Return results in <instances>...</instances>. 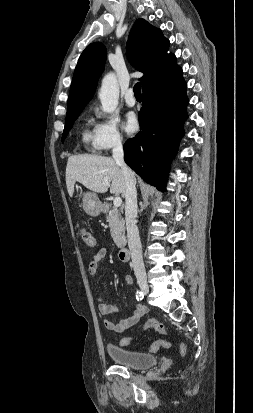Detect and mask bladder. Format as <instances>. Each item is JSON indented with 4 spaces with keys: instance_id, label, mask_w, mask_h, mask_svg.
Listing matches in <instances>:
<instances>
[{
    "instance_id": "bladder-1",
    "label": "bladder",
    "mask_w": 253,
    "mask_h": 413,
    "mask_svg": "<svg viewBox=\"0 0 253 413\" xmlns=\"http://www.w3.org/2000/svg\"><path fill=\"white\" fill-rule=\"evenodd\" d=\"M106 350L114 363L128 368L146 369L158 362L157 357L152 354L127 350L113 344L107 345Z\"/></svg>"
}]
</instances>
